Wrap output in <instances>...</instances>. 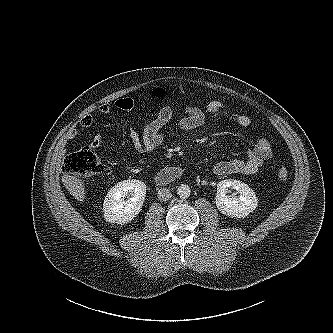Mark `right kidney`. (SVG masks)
Listing matches in <instances>:
<instances>
[{"label": "right kidney", "instance_id": "right-kidney-1", "mask_svg": "<svg viewBox=\"0 0 333 333\" xmlns=\"http://www.w3.org/2000/svg\"><path fill=\"white\" fill-rule=\"evenodd\" d=\"M145 196L146 184L142 181L129 179L117 183L108 191L103 203L105 220L117 224L130 222L141 211Z\"/></svg>", "mask_w": 333, "mask_h": 333}]
</instances>
